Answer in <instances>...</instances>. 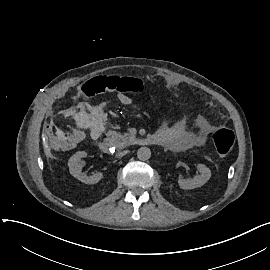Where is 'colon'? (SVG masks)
<instances>
[{
	"label": "colon",
	"instance_id": "5ec220e1",
	"mask_svg": "<svg viewBox=\"0 0 270 270\" xmlns=\"http://www.w3.org/2000/svg\"><path fill=\"white\" fill-rule=\"evenodd\" d=\"M106 90L141 95L144 93L145 88L141 80L137 78L127 76L104 77L84 84L82 96L83 98H91L106 92ZM162 109L169 110L168 104L162 103ZM212 140L217 154L225 157L231 152L235 137L233 131L229 128L217 126L212 132Z\"/></svg>",
	"mask_w": 270,
	"mask_h": 270
}]
</instances>
